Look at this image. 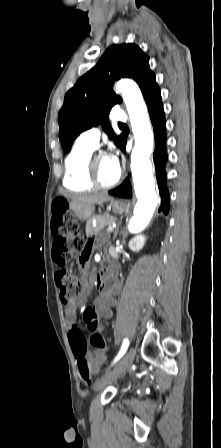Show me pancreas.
I'll return each instance as SVG.
<instances>
[{"instance_id":"cf45deb5","label":"pancreas","mask_w":221,"mask_h":448,"mask_svg":"<svg viewBox=\"0 0 221 448\" xmlns=\"http://www.w3.org/2000/svg\"><path fill=\"white\" fill-rule=\"evenodd\" d=\"M96 219V227H93L92 221H89L86 226V234L87 235H93L94 233L99 232L100 230H103L106 226H110L114 224L117 219L113 216L104 214V215H98L95 217Z\"/></svg>"}]
</instances>
